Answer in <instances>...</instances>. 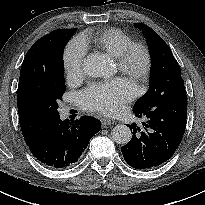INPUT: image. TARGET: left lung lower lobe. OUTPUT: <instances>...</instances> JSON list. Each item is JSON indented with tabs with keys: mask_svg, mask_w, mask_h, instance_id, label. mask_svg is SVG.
I'll return each instance as SVG.
<instances>
[{
	"mask_svg": "<svg viewBox=\"0 0 205 205\" xmlns=\"http://www.w3.org/2000/svg\"><path fill=\"white\" fill-rule=\"evenodd\" d=\"M142 125L129 126L132 139L121 148L133 168L147 169L166 162L178 148L186 128L187 96H172L134 112Z\"/></svg>",
	"mask_w": 205,
	"mask_h": 205,
	"instance_id": "1",
	"label": "left lung lower lobe"
}]
</instances>
